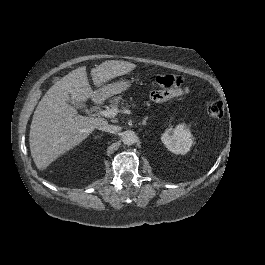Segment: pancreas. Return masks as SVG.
I'll return each mask as SVG.
<instances>
[{
	"label": "pancreas",
	"instance_id": "1",
	"mask_svg": "<svg viewBox=\"0 0 265 265\" xmlns=\"http://www.w3.org/2000/svg\"><path fill=\"white\" fill-rule=\"evenodd\" d=\"M125 103V100L122 98L121 95L115 96L114 98L110 99L109 101V107H118L120 104L123 105ZM107 108V106H106Z\"/></svg>",
	"mask_w": 265,
	"mask_h": 265
}]
</instances>
